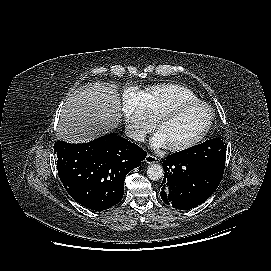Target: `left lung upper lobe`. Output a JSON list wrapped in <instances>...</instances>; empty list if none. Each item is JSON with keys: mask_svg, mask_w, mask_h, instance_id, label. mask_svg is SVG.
Segmentation results:
<instances>
[{"mask_svg": "<svg viewBox=\"0 0 271 271\" xmlns=\"http://www.w3.org/2000/svg\"><path fill=\"white\" fill-rule=\"evenodd\" d=\"M181 157L195 159L206 166L224 173L226 143L220 138L207 140L199 145L177 152Z\"/></svg>", "mask_w": 271, "mask_h": 271, "instance_id": "1", "label": "left lung upper lobe"}]
</instances>
